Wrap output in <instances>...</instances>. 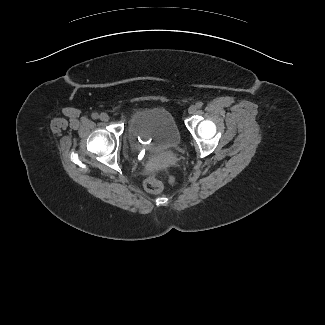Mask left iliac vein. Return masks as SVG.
<instances>
[{
  "label": "left iliac vein",
  "instance_id": "1",
  "mask_svg": "<svg viewBox=\"0 0 325 325\" xmlns=\"http://www.w3.org/2000/svg\"><path fill=\"white\" fill-rule=\"evenodd\" d=\"M196 111H197V107H196L195 105H191V106L188 108V113H189L190 115L195 114Z\"/></svg>",
  "mask_w": 325,
  "mask_h": 325
}]
</instances>
